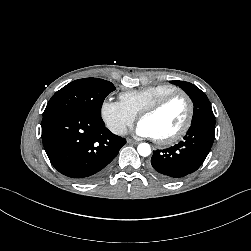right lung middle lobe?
I'll list each match as a JSON object with an SVG mask.
<instances>
[{"mask_svg": "<svg viewBox=\"0 0 251 251\" xmlns=\"http://www.w3.org/2000/svg\"><path fill=\"white\" fill-rule=\"evenodd\" d=\"M114 90V85L103 79L84 78L75 80L52 96L44 113L64 110L101 116L102 103L106 96Z\"/></svg>", "mask_w": 251, "mask_h": 251, "instance_id": "right-lung-middle-lobe-1", "label": "right lung middle lobe"}]
</instances>
